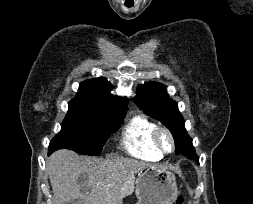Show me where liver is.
Returning <instances> with one entry per match:
<instances>
[{"label": "liver", "mask_w": 253, "mask_h": 204, "mask_svg": "<svg viewBox=\"0 0 253 204\" xmlns=\"http://www.w3.org/2000/svg\"><path fill=\"white\" fill-rule=\"evenodd\" d=\"M53 189V204H121V183L149 167L131 158L102 160L70 150L53 153L46 163Z\"/></svg>", "instance_id": "liver-1"}]
</instances>
